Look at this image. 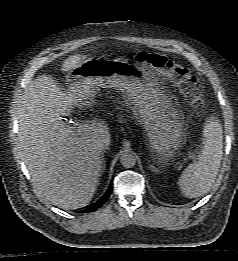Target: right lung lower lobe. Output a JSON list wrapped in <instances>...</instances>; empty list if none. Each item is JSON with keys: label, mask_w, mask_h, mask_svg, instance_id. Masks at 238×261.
<instances>
[{"label": "right lung lower lobe", "mask_w": 238, "mask_h": 261, "mask_svg": "<svg viewBox=\"0 0 238 261\" xmlns=\"http://www.w3.org/2000/svg\"><path fill=\"white\" fill-rule=\"evenodd\" d=\"M109 197H110V193L107 192V194L104 195V197L101 199V201H99V205L96 208H98L102 204H104ZM92 209H95V208H92Z\"/></svg>", "instance_id": "98d812e1"}]
</instances>
